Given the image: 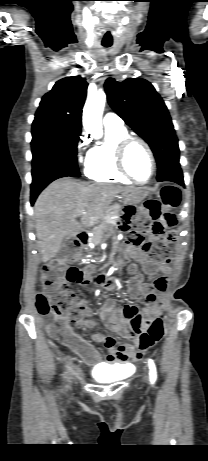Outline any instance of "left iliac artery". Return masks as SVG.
<instances>
[{"label":"left iliac artery","mask_w":208,"mask_h":461,"mask_svg":"<svg viewBox=\"0 0 208 461\" xmlns=\"http://www.w3.org/2000/svg\"><path fill=\"white\" fill-rule=\"evenodd\" d=\"M149 369L150 381L151 383H154L156 381L157 374L155 364L151 359H149Z\"/></svg>","instance_id":"left-iliac-artery-1"}]
</instances>
